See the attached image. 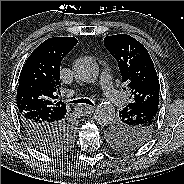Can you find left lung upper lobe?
Returning a JSON list of instances; mask_svg holds the SVG:
<instances>
[{
    "label": "left lung upper lobe",
    "instance_id": "obj_1",
    "mask_svg": "<svg viewBox=\"0 0 184 184\" xmlns=\"http://www.w3.org/2000/svg\"><path fill=\"white\" fill-rule=\"evenodd\" d=\"M104 44L131 91V103L119 111V118L108 129V138L119 150H134L148 140L158 119V107L150 104L159 101V80L149 53L135 38L112 35L104 38Z\"/></svg>",
    "mask_w": 184,
    "mask_h": 184
}]
</instances>
